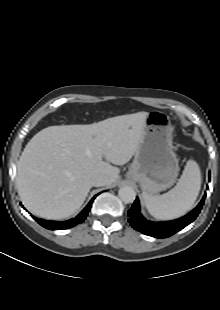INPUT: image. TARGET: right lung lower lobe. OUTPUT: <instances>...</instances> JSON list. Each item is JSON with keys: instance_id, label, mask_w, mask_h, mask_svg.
Segmentation results:
<instances>
[{"instance_id": "obj_1", "label": "right lung lower lobe", "mask_w": 220, "mask_h": 310, "mask_svg": "<svg viewBox=\"0 0 220 310\" xmlns=\"http://www.w3.org/2000/svg\"><path fill=\"white\" fill-rule=\"evenodd\" d=\"M99 194H96L88 203V205L80 212V214H78L75 218H72L68 221H63V222H57V221H47V220H43V219H39L33 216V218L44 228L46 229H50V230H61V229H68L71 227L76 226L79 223H82L87 215L88 212L90 211L91 207H92V202L94 201V199L96 198V196H98Z\"/></svg>"}]
</instances>
